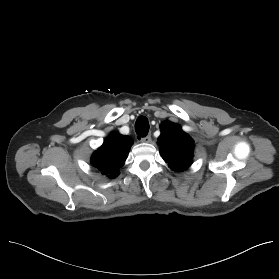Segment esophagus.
Masks as SVG:
<instances>
[{"instance_id":"34e87169","label":"esophagus","mask_w":279,"mask_h":279,"mask_svg":"<svg viewBox=\"0 0 279 279\" xmlns=\"http://www.w3.org/2000/svg\"><path fill=\"white\" fill-rule=\"evenodd\" d=\"M140 141H141V142H144V143H149V142H151V134H148L147 136L141 138Z\"/></svg>"}]
</instances>
